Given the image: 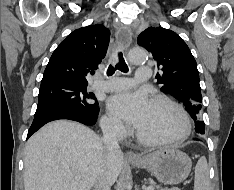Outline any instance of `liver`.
I'll return each instance as SVG.
<instances>
[{"mask_svg":"<svg viewBox=\"0 0 234 190\" xmlns=\"http://www.w3.org/2000/svg\"><path fill=\"white\" fill-rule=\"evenodd\" d=\"M123 165L121 151H109L91 129L73 121H54L27 141L24 188L90 190L101 174L112 185Z\"/></svg>","mask_w":234,"mask_h":190,"instance_id":"liver-1","label":"liver"}]
</instances>
